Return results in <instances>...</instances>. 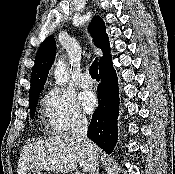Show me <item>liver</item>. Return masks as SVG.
Returning a JSON list of instances; mask_svg holds the SVG:
<instances>
[{
    "label": "liver",
    "mask_w": 175,
    "mask_h": 174,
    "mask_svg": "<svg viewBox=\"0 0 175 174\" xmlns=\"http://www.w3.org/2000/svg\"><path fill=\"white\" fill-rule=\"evenodd\" d=\"M78 163L83 172H89L91 161L84 145L73 136L49 137L23 146L17 173L26 174L34 169L68 173Z\"/></svg>",
    "instance_id": "1"
}]
</instances>
